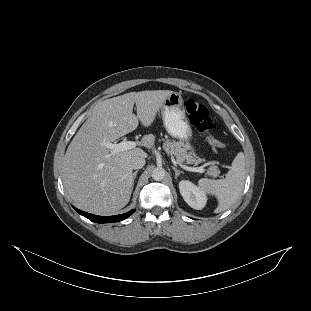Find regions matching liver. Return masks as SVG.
Returning a JSON list of instances; mask_svg holds the SVG:
<instances>
[{
	"label": "liver",
	"mask_w": 311,
	"mask_h": 311,
	"mask_svg": "<svg viewBox=\"0 0 311 311\" xmlns=\"http://www.w3.org/2000/svg\"><path fill=\"white\" fill-rule=\"evenodd\" d=\"M174 91L129 92L101 101L70 142L62 162L63 184L77 207L100 215L125 207L133 190L135 157L148 158L139 147L113 152L104 142L135 131L138 124L151 128L166 99ZM134 105L136 115L133 114ZM157 137L145 134L139 145L152 150Z\"/></svg>",
	"instance_id": "liver-1"
}]
</instances>
